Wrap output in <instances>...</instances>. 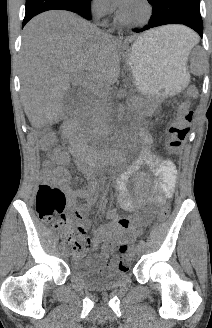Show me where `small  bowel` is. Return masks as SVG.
I'll return each mask as SVG.
<instances>
[{"label": "small bowel", "instance_id": "obj_1", "mask_svg": "<svg viewBox=\"0 0 212 328\" xmlns=\"http://www.w3.org/2000/svg\"><path fill=\"white\" fill-rule=\"evenodd\" d=\"M142 137L148 144L149 137L144 133ZM72 164L69 154L62 147H57L47 154V158L43 162V170L44 175L56 182L64 192L72 221L84 230L89 226L87 214L92 206L90 199L92 191L90 189L74 190L71 188L67 167ZM143 164L151 167L159 178L160 195L149 194L145 190L147 175L139 172ZM133 175H135L134 191L130 193L128 181ZM176 181L177 170L175 165L170 160L153 154L148 147H145L141 157L120 175L116 183L117 203L123 210L132 213V215L122 217L116 210H107L106 216L109 223L97 227L94 230L93 239L91 241L88 239L87 249L81 254H75V256L83 257L91 245L101 246V250L89 259L90 268L99 273H107L116 269L118 259L116 257L112 261L108 259L114 253L117 245L123 241H132L142 233L143 228L152 217L154 207L162 205L166 198L173 195ZM80 199L85 200L82 206L78 205Z\"/></svg>", "mask_w": 212, "mask_h": 328}]
</instances>
